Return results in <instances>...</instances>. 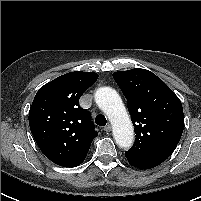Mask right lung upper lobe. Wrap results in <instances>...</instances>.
Wrapping results in <instances>:
<instances>
[{
	"instance_id": "cb5924a9",
	"label": "right lung upper lobe",
	"mask_w": 201,
	"mask_h": 201,
	"mask_svg": "<svg viewBox=\"0 0 201 201\" xmlns=\"http://www.w3.org/2000/svg\"><path fill=\"white\" fill-rule=\"evenodd\" d=\"M97 73L69 72L42 86L29 111V126L43 154L64 167L81 164L98 136L79 98Z\"/></svg>"
}]
</instances>
